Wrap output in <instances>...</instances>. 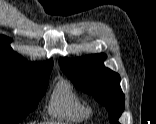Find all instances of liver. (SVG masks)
<instances>
[{
	"label": "liver",
	"instance_id": "6515ba94",
	"mask_svg": "<svg viewBox=\"0 0 156 124\" xmlns=\"http://www.w3.org/2000/svg\"><path fill=\"white\" fill-rule=\"evenodd\" d=\"M35 124V123H34ZM43 124H46V123H43ZM47 124H60V123H54V122H49Z\"/></svg>",
	"mask_w": 156,
	"mask_h": 124
}]
</instances>
